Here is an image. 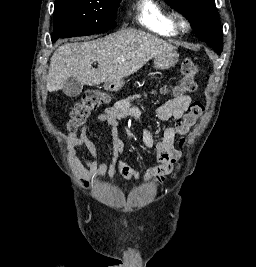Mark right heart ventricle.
<instances>
[{"instance_id":"obj_1","label":"right heart ventricle","mask_w":256,"mask_h":267,"mask_svg":"<svg viewBox=\"0 0 256 267\" xmlns=\"http://www.w3.org/2000/svg\"><path fill=\"white\" fill-rule=\"evenodd\" d=\"M142 9L150 7V1L145 0L142 3ZM145 27L157 36H177L178 28L172 14L166 13L164 15L156 14L153 22H144Z\"/></svg>"}]
</instances>
